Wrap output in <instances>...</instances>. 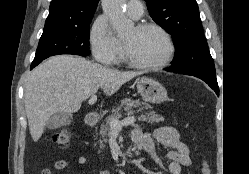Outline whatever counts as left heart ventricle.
I'll list each match as a JSON object with an SVG mask.
<instances>
[{"instance_id":"1","label":"left heart ventricle","mask_w":249,"mask_h":174,"mask_svg":"<svg viewBox=\"0 0 249 174\" xmlns=\"http://www.w3.org/2000/svg\"><path fill=\"white\" fill-rule=\"evenodd\" d=\"M125 54L141 63H157L166 58L169 45L165 37L157 30L143 32L134 28L124 39Z\"/></svg>"}]
</instances>
